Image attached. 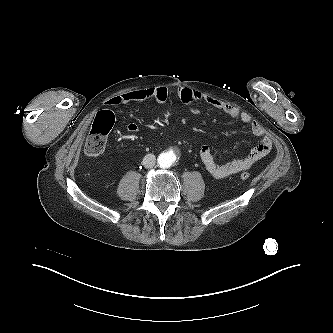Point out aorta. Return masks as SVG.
Masks as SVG:
<instances>
[{"mask_svg": "<svg viewBox=\"0 0 333 333\" xmlns=\"http://www.w3.org/2000/svg\"><path fill=\"white\" fill-rule=\"evenodd\" d=\"M158 163L162 168H168L172 165V159L168 153L160 154Z\"/></svg>", "mask_w": 333, "mask_h": 333, "instance_id": "762f6f07", "label": "aorta"}]
</instances>
